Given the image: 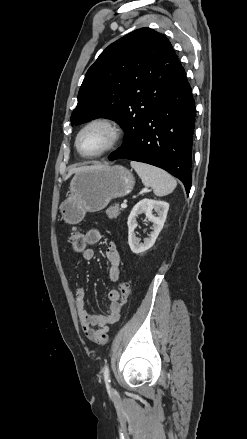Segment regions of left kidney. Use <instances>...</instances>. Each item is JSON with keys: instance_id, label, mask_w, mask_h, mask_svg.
<instances>
[{"instance_id": "left-kidney-1", "label": "left kidney", "mask_w": 247, "mask_h": 439, "mask_svg": "<svg viewBox=\"0 0 247 439\" xmlns=\"http://www.w3.org/2000/svg\"><path fill=\"white\" fill-rule=\"evenodd\" d=\"M169 209V204L164 201L143 199L139 201L132 209L128 217V243L130 249L133 253L139 254L150 249L159 233L163 229L167 213ZM153 210L157 213V216L152 214ZM144 213L148 220L153 223V231L149 238L144 239V243H140V239L136 237L134 230L138 226L136 217Z\"/></svg>"}]
</instances>
